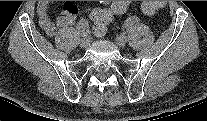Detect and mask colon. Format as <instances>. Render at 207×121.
Wrapping results in <instances>:
<instances>
[{"mask_svg": "<svg viewBox=\"0 0 207 121\" xmlns=\"http://www.w3.org/2000/svg\"><path fill=\"white\" fill-rule=\"evenodd\" d=\"M165 6L163 1H144L141 10L146 15H152ZM128 7L125 1H112L110 8H96L91 12V20L95 33H104L114 15H120Z\"/></svg>", "mask_w": 207, "mask_h": 121, "instance_id": "obj_1", "label": "colon"}]
</instances>
